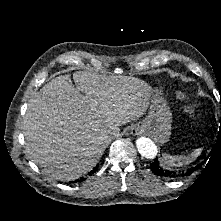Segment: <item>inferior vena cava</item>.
<instances>
[{
    "label": "inferior vena cava",
    "instance_id": "obj_1",
    "mask_svg": "<svg viewBox=\"0 0 221 221\" xmlns=\"http://www.w3.org/2000/svg\"><path fill=\"white\" fill-rule=\"evenodd\" d=\"M104 138L107 140H113L115 138L114 134L112 132H105Z\"/></svg>",
    "mask_w": 221,
    "mask_h": 221
}]
</instances>
